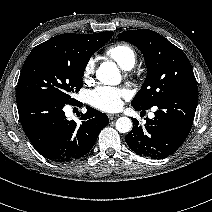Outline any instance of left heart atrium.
Wrapping results in <instances>:
<instances>
[{
    "label": "left heart atrium",
    "instance_id": "1",
    "mask_svg": "<svg viewBox=\"0 0 212 212\" xmlns=\"http://www.w3.org/2000/svg\"><path fill=\"white\" fill-rule=\"evenodd\" d=\"M129 92L125 88L100 86L89 93V103L102 111H115L121 107L122 100L128 98Z\"/></svg>",
    "mask_w": 212,
    "mask_h": 212
}]
</instances>
